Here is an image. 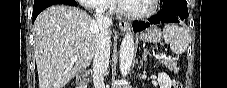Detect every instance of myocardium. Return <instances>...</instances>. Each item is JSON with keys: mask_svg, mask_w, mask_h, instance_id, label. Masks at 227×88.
<instances>
[{"mask_svg": "<svg viewBox=\"0 0 227 88\" xmlns=\"http://www.w3.org/2000/svg\"><path fill=\"white\" fill-rule=\"evenodd\" d=\"M150 3H151V7L147 12H142V13L130 12V11L125 10L123 4H118L117 11H118V13H120L130 19L143 20V19H146V18H149L150 16H152L156 11L158 0H150Z\"/></svg>", "mask_w": 227, "mask_h": 88, "instance_id": "obj_1", "label": "myocardium"}]
</instances>
